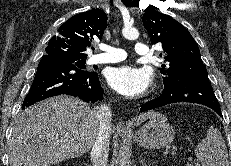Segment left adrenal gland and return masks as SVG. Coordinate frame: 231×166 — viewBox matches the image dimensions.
I'll use <instances>...</instances> for the list:
<instances>
[{
  "label": "left adrenal gland",
  "mask_w": 231,
  "mask_h": 166,
  "mask_svg": "<svg viewBox=\"0 0 231 166\" xmlns=\"http://www.w3.org/2000/svg\"><path fill=\"white\" fill-rule=\"evenodd\" d=\"M139 163L142 165V166H150V165H147L145 160L143 158H139Z\"/></svg>",
  "instance_id": "a2214340"
}]
</instances>
